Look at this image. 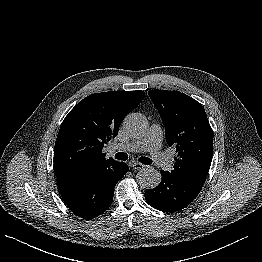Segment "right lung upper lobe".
I'll return each instance as SVG.
<instances>
[{
  "label": "right lung upper lobe",
  "instance_id": "cb5924a9",
  "mask_svg": "<svg viewBox=\"0 0 262 262\" xmlns=\"http://www.w3.org/2000/svg\"><path fill=\"white\" fill-rule=\"evenodd\" d=\"M144 91L95 93L80 101L61 124L54 148L58 180L78 178L117 166L103 146L114 138L124 117L143 100Z\"/></svg>",
  "mask_w": 262,
  "mask_h": 262
}]
</instances>
